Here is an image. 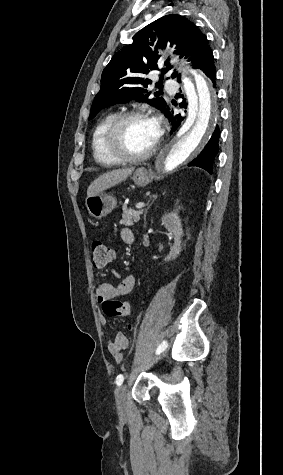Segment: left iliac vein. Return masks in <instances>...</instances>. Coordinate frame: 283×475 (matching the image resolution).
Segmentation results:
<instances>
[{
	"label": "left iliac vein",
	"mask_w": 283,
	"mask_h": 475,
	"mask_svg": "<svg viewBox=\"0 0 283 475\" xmlns=\"http://www.w3.org/2000/svg\"><path fill=\"white\" fill-rule=\"evenodd\" d=\"M126 385L117 387L115 391L116 406L120 414H125L127 407Z\"/></svg>",
	"instance_id": "left-iliac-vein-1"
}]
</instances>
